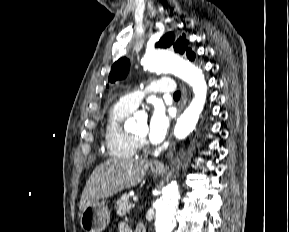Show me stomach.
Here are the masks:
<instances>
[{"mask_svg": "<svg viewBox=\"0 0 289 232\" xmlns=\"http://www.w3.org/2000/svg\"><path fill=\"white\" fill-rule=\"evenodd\" d=\"M162 170L152 169L154 177L160 176ZM110 221V210L105 201H97L87 206L80 215V225L85 232H102Z\"/></svg>", "mask_w": 289, "mask_h": 232, "instance_id": "stomach-1", "label": "stomach"}]
</instances>
